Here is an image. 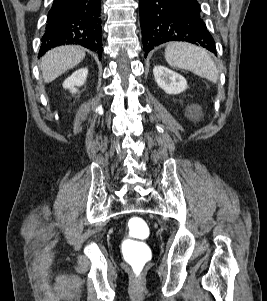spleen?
I'll use <instances>...</instances> for the list:
<instances>
[{
    "mask_svg": "<svg viewBox=\"0 0 267 301\" xmlns=\"http://www.w3.org/2000/svg\"><path fill=\"white\" fill-rule=\"evenodd\" d=\"M167 63L175 68H181L216 83L219 77L218 69L209 53L189 43H169L165 49Z\"/></svg>",
    "mask_w": 267,
    "mask_h": 301,
    "instance_id": "1",
    "label": "spleen"
}]
</instances>
